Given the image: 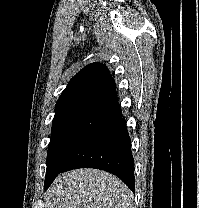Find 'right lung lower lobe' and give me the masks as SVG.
Segmentation results:
<instances>
[{
  "label": "right lung lower lobe",
  "mask_w": 199,
  "mask_h": 208,
  "mask_svg": "<svg viewBox=\"0 0 199 208\" xmlns=\"http://www.w3.org/2000/svg\"><path fill=\"white\" fill-rule=\"evenodd\" d=\"M84 167L108 171L135 192L131 141L117 98L100 109L71 157L57 174L45 181L44 188L47 189L59 173Z\"/></svg>",
  "instance_id": "right-lung-lower-lobe-1"
}]
</instances>
